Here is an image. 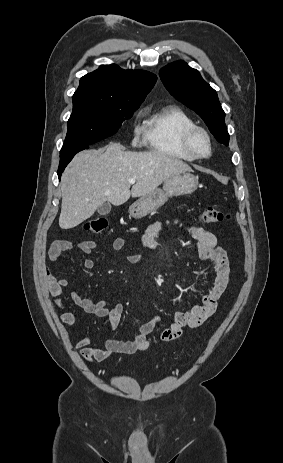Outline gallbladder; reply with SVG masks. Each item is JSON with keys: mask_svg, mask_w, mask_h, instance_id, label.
I'll return each instance as SVG.
<instances>
[{"mask_svg": "<svg viewBox=\"0 0 283 463\" xmlns=\"http://www.w3.org/2000/svg\"><path fill=\"white\" fill-rule=\"evenodd\" d=\"M97 211L100 215H107L111 211V204L109 202H105L98 207Z\"/></svg>", "mask_w": 283, "mask_h": 463, "instance_id": "obj_1", "label": "gallbladder"}]
</instances>
